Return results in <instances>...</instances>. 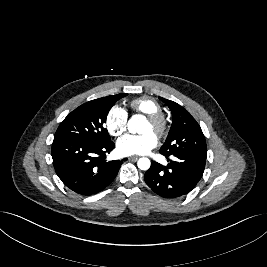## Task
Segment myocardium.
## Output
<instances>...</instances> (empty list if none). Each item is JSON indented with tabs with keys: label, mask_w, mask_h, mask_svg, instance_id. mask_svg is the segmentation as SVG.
I'll list each match as a JSON object with an SVG mask.
<instances>
[{
	"label": "myocardium",
	"mask_w": 267,
	"mask_h": 267,
	"mask_svg": "<svg viewBox=\"0 0 267 267\" xmlns=\"http://www.w3.org/2000/svg\"><path fill=\"white\" fill-rule=\"evenodd\" d=\"M147 121L153 127V132L158 137H163L168 130V120L162 112L147 115Z\"/></svg>",
	"instance_id": "myocardium-1"
}]
</instances>
